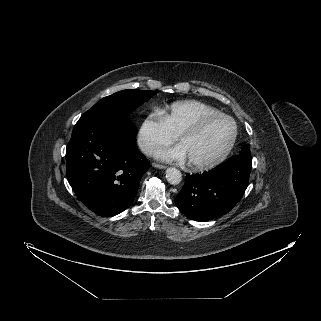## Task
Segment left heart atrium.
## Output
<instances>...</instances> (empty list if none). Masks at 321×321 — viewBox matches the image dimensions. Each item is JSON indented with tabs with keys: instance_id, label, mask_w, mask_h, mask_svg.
Masks as SVG:
<instances>
[{
	"instance_id": "1",
	"label": "left heart atrium",
	"mask_w": 321,
	"mask_h": 321,
	"mask_svg": "<svg viewBox=\"0 0 321 321\" xmlns=\"http://www.w3.org/2000/svg\"><path fill=\"white\" fill-rule=\"evenodd\" d=\"M154 156L167 162H182L187 159V153L182 144L168 149L157 150L154 152Z\"/></svg>"
}]
</instances>
